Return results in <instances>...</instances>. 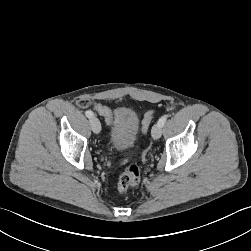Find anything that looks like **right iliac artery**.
I'll list each match as a JSON object with an SVG mask.
<instances>
[{"label": "right iliac artery", "instance_id": "obj_1", "mask_svg": "<svg viewBox=\"0 0 251 251\" xmlns=\"http://www.w3.org/2000/svg\"><path fill=\"white\" fill-rule=\"evenodd\" d=\"M85 115H86L88 118H92V117L94 116L93 112L90 111V110H87V111L85 112Z\"/></svg>", "mask_w": 251, "mask_h": 251}]
</instances>
